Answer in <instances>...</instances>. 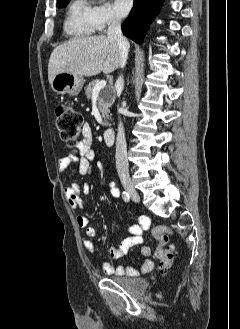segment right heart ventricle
Instances as JSON below:
<instances>
[{"instance_id":"e07e8e85","label":"right heart ventricle","mask_w":240,"mask_h":329,"mask_svg":"<svg viewBox=\"0 0 240 329\" xmlns=\"http://www.w3.org/2000/svg\"><path fill=\"white\" fill-rule=\"evenodd\" d=\"M64 32L73 38L89 37L95 32L92 6L88 0H72L64 19Z\"/></svg>"}]
</instances>
